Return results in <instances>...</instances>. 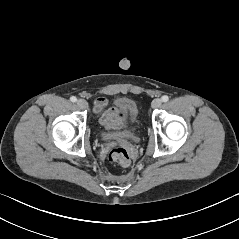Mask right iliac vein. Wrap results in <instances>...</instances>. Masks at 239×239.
Returning <instances> with one entry per match:
<instances>
[{"mask_svg": "<svg viewBox=\"0 0 239 239\" xmlns=\"http://www.w3.org/2000/svg\"><path fill=\"white\" fill-rule=\"evenodd\" d=\"M77 105H78V107L81 108V109H85V108L88 107V104H87V102H86L84 99H79V100L77 101Z\"/></svg>", "mask_w": 239, "mask_h": 239, "instance_id": "obj_1", "label": "right iliac vein"}]
</instances>
